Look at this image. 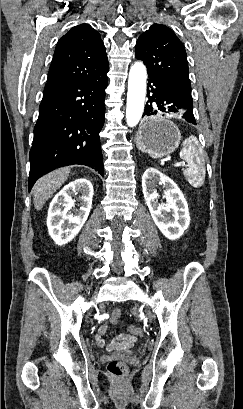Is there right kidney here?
Here are the masks:
<instances>
[{
    "instance_id": "ca27d5eb",
    "label": "right kidney",
    "mask_w": 243,
    "mask_h": 409,
    "mask_svg": "<svg viewBox=\"0 0 243 409\" xmlns=\"http://www.w3.org/2000/svg\"><path fill=\"white\" fill-rule=\"evenodd\" d=\"M78 193L81 194L80 208L74 209L72 197ZM93 195V185L84 178L70 182L55 195L49 206L47 226L56 244L64 245L79 233L89 216Z\"/></svg>"
}]
</instances>
